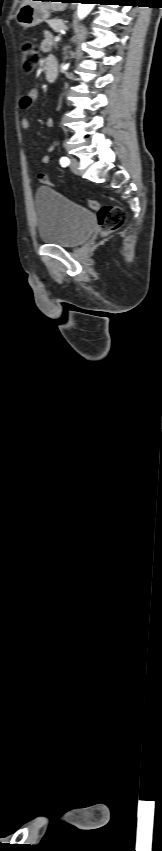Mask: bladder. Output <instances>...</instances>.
<instances>
[{"instance_id": "1", "label": "bladder", "mask_w": 162, "mask_h": 851, "mask_svg": "<svg viewBox=\"0 0 162 851\" xmlns=\"http://www.w3.org/2000/svg\"><path fill=\"white\" fill-rule=\"evenodd\" d=\"M35 209L38 236L44 244L66 248L79 246L90 236L96 222L89 209L48 186L37 189Z\"/></svg>"}]
</instances>
